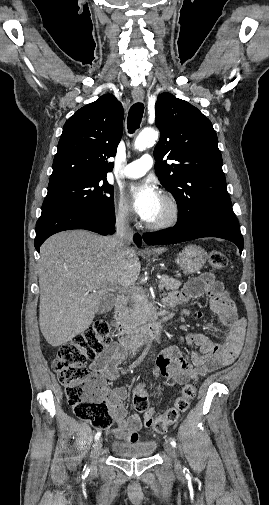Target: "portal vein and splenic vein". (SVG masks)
I'll return each instance as SVG.
<instances>
[{
    "instance_id": "portal-vein-and-splenic-vein-1",
    "label": "portal vein and splenic vein",
    "mask_w": 269,
    "mask_h": 505,
    "mask_svg": "<svg viewBox=\"0 0 269 505\" xmlns=\"http://www.w3.org/2000/svg\"><path fill=\"white\" fill-rule=\"evenodd\" d=\"M159 288H161V286H159ZM124 292L126 293H131L133 292L135 289L134 288H128V287H124ZM93 292H96L95 290H93Z\"/></svg>"
}]
</instances>
